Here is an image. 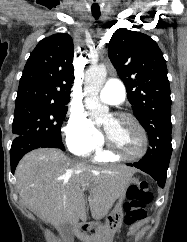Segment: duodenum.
Returning a JSON list of instances; mask_svg holds the SVG:
<instances>
[{
    "mask_svg": "<svg viewBox=\"0 0 187 242\" xmlns=\"http://www.w3.org/2000/svg\"><path fill=\"white\" fill-rule=\"evenodd\" d=\"M74 232L77 236H86V235L91 234L92 227L89 223L80 222L75 225Z\"/></svg>",
    "mask_w": 187,
    "mask_h": 242,
    "instance_id": "obj_1",
    "label": "duodenum"
}]
</instances>
